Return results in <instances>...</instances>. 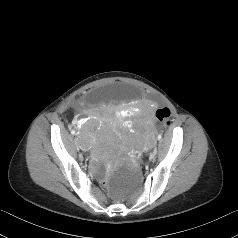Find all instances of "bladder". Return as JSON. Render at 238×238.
Instances as JSON below:
<instances>
[{
	"instance_id": "1",
	"label": "bladder",
	"mask_w": 238,
	"mask_h": 238,
	"mask_svg": "<svg viewBox=\"0 0 238 238\" xmlns=\"http://www.w3.org/2000/svg\"><path fill=\"white\" fill-rule=\"evenodd\" d=\"M122 86V84L120 85L118 83H113L109 87L104 86L87 93L85 100L87 104L91 106L104 103L110 99L115 102L121 101L122 98L125 100L129 99V101L133 103L140 101L142 97L140 90L136 88L132 89V87L128 85Z\"/></svg>"
}]
</instances>
